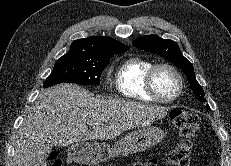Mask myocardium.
Masks as SVG:
<instances>
[{
    "label": "myocardium",
    "mask_w": 231,
    "mask_h": 166,
    "mask_svg": "<svg viewBox=\"0 0 231 166\" xmlns=\"http://www.w3.org/2000/svg\"><path fill=\"white\" fill-rule=\"evenodd\" d=\"M162 68L170 70L175 75V77L177 78V81H178L177 92L171 98L162 97L157 92V90L155 88V84H154L155 75H156L157 71L159 69H162ZM145 88H146L147 93L154 100H156V101H158L160 103L169 104V103H172V102L176 101L180 97V95L182 94L183 89H184V79H183V76H182L181 72L175 66H173V65H171L169 63H157V64H154L148 70V72L146 74Z\"/></svg>",
    "instance_id": "1"
}]
</instances>
